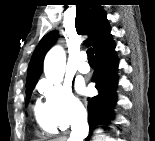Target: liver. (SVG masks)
I'll use <instances>...</instances> for the list:
<instances>
[{"label":"liver","instance_id":"obj_1","mask_svg":"<svg viewBox=\"0 0 155 141\" xmlns=\"http://www.w3.org/2000/svg\"><path fill=\"white\" fill-rule=\"evenodd\" d=\"M53 141H66V138L65 137H61V138H57V139H55Z\"/></svg>","mask_w":155,"mask_h":141}]
</instances>
